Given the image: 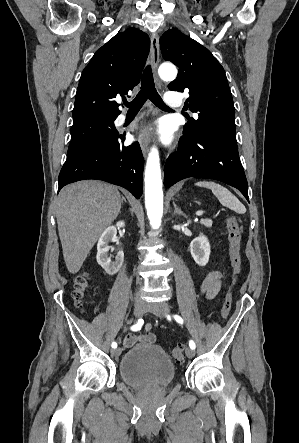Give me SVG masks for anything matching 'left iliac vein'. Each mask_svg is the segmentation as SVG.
<instances>
[{
	"label": "left iliac vein",
	"instance_id": "1",
	"mask_svg": "<svg viewBox=\"0 0 299 443\" xmlns=\"http://www.w3.org/2000/svg\"><path fill=\"white\" fill-rule=\"evenodd\" d=\"M146 311L151 312L158 317H164L165 314L169 313L170 308H169L168 304L161 302V303L146 305ZM186 355L188 358H193L195 355V352L193 349L188 347V348H186Z\"/></svg>",
	"mask_w": 299,
	"mask_h": 443
}]
</instances>
